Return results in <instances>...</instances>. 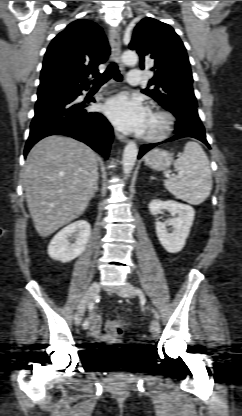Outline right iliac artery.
<instances>
[{"mask_svg": "<svg viewBox=\"0 0 242 416\" xmlns=\"http://www.w3.org/2000/svg\"><path fill=\"white\" fill-rule=\"evenodd\" d=\"M92 309H93V303H90L89 304V310L91 311ZM88 326H89V321L88 320H85L84 323H83V328L84 329H87Z\"/></svg>", "mask_w": 242, "mask_h": 416, "instance_id": "1", "label": "right iliac artery"}]
</instances>
